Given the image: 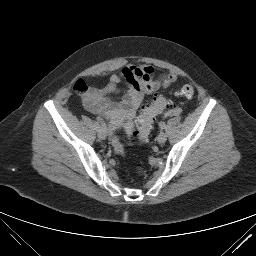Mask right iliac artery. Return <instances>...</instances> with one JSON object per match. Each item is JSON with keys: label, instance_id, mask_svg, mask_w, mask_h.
<instances>
[{"label": "right iliac artery", "instance_id": "82829eb1", "mask_svg": "<svg viewBox=\"0 0 256 256\" xmlns=\"http://www.w3.org/2000/svg\"><path fill=\"white\" fill-rule=\"evenodd\" d=\"M93 127H94L97 131L100 130V129H102V127H100V124H99L98 121H94Z\"/></svg>", "mask_w": 256, "mask_h": 256}]
</instances>
